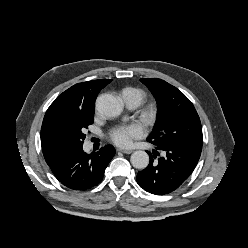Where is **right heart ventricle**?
<instances>
[{
    "instance_id": "e07e8e85",
    "label": "right heart ventricle",
    "mask_w": 248,
    "mask_h": 248,
    "mask_svg": "<svg viewBox=\"0 0 248 248\" xmlns=\"http://www.w3.org/2000/svg\"><path fill=\"white\" fill-rule=\"evenodd\" d=\"M124 93H131L133 94L134 96H136L141 102L142 100L144 99V92L139 89V88H134V87H129V88H125L123 91H122V94Z\"/></svg>"
}]
</instances>
